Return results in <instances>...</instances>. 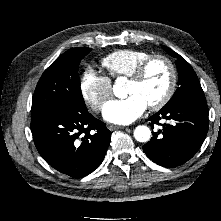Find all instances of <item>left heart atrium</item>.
Wrapping results in <instances>:
<instances>
[{
    "label": "left heart atrium",
    "mask_w": 221,
    "mask_h": 221,
    "mask_svg": "<svg viewBox=\"0 0 221 221\" xmlns=\"http://www.w3.org/2000/svg\"><path fill=\"white\" fill-rule=\"evenodd\" d=\"M147 108V103L138 95L131 94L125 99L111 100L103 109L105 120L126 125L139 118Z\"/></svg>",
    "instance_id": "obj_1"
}]
</instances>
